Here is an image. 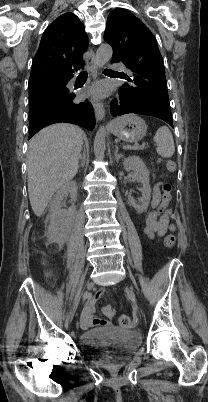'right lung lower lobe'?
Segmentation results:
<instances>
[{
  "mask_svg": "<svg viewBox=\"0 0 208 402\" xmlns=\"http://www.w3.org/2000/svg\"><path fill=\"white\" fill-rule=\"evenodd\" d=\"M65 83L67 84V81L57 79L30 80L29 90H37L45 84L63 85ZM72 98H75L74 94ZM73 99L66 105L44 112L33 123L29 124L28 139L42 128L60 122L76 124L92 131L95 127V117L91 103L87 100L75 103Z\"/></svg>",
  "mask_w": 208,
  "mask_h": 402,
  "instance_id": "right-lung-lower-lobe-1",
  "label": "right lung lower lobe"
}]
</instances>
